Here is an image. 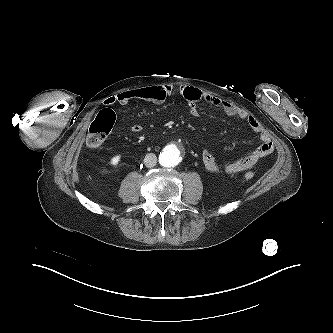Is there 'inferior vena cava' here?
Listing matches in <instances>:
<instances>
[{
  "mask_svg": "<svg viewBox=\"0 0 333 333\" xmlns=\"http://www.w3.org/2000/svg\"><path fill=\"white\" fill-rule=\"evenodd\" d=\"M157 163V157L153 153H149L144 158V164L146 167L151 168L154 167Z\"/></svg>",
  "mask_w": 333,
  "mask_h": 333,
  "instance_id": "1",
  "label": "inferior vena cava"
}]
</instances>
